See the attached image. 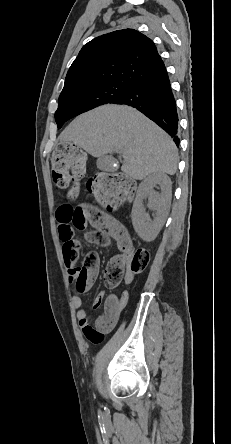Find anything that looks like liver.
Segmentation results:
<instances>
[{
    "instance_id": "obj_1",
    "label": "liver",
    "mask_w": 231,
    "mask_h": 444,
    "mask_svg": "<svg viewBox=\"0 0 231 444\" xmlns=\"http://www.w3.org/2000/svg\"><path fill=\"white\" fill-rule=\"evenodd\" d=\"M90 155L101 158L116 151L121 170L142 180L156 173L174 175L178 150L171 137L138 110L107 104L76 117L60 135Z\"/></svg>"
}]
</instances>
